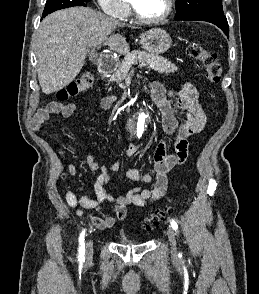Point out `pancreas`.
<instances>
[{"label": "pancreas", "instance_id": "cf45deb5", "mask_svg": "<svg viewBox=\"0 0 259 294\" xmlns=\"http://www.w3.org/2000/svg\"><path fill=\"white\" fill-rule=\"evenodd\" d=\"M141 62L149 65V68L158 73H173L177 67L164 57L150 54L145 51H132L127 54L124 61L120 64L118 70L113 74L112 81L121 82L129 73H133L132 65Z\"/></svg>", "mask_w": 259, "mask_h": 294}]
</instances>
